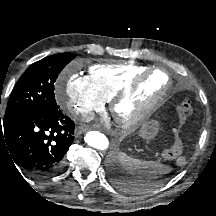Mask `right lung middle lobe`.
<instances>
[{
  "mask_svg": "<svg viewBox=\"0 0 216 216\" xmlns=\"http://www.w3.org/2000/svg\"><path fill=\"white\" fill-rule=\"evenodd\" d=\"M74 58V54L61 53L33 63L16 84L3 122L38 111L59 109L54 97V82L62 69Z\"/></svg>",
  "mask_w": 216,
  "mask_h": 216,
  "instance_id": "obj_1",
  "label": "right lung middle lobe"
}]
</instances>
